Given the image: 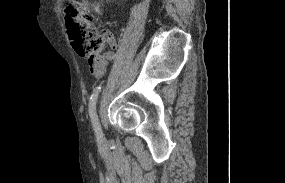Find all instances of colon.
Masks as SVG:
<instances>
[{"label":"colon","instance_id":"5ec220e1","mask_svg":"<svg viewBox=\"0 0 285 183\" xmlns=\"http://www.w3.org/2000/svg\"><path fill=\"white\" fill-rule=\"evenodd\" d=\"M65 24L69 40L80 56L93 61L108 52L112 35L106 30H99L89 14L69 7L65 13Z\"/></svg>","mask_w":285,"mask_h":183}]
</instances>
